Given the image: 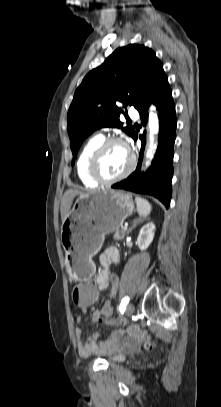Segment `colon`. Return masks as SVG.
Segmentation results:
<instances>
[{"label":"colon","instance_id":"obj_1","mask_svg":"<svg viewBox=\"0 0 221 407\" xmlns=\"http://www.w3.org/2000/svg\"><path fill=\"white\" fill-rule=\"evenodd\" d=\"M74 291H72L71 303L73 306H78L79 311H90L91 306L95 305V300L98 298L95 283H74ZM114 315L111 305H103L101 313L95 317L100 318V322H107ZM109 322L114 324L115 321L110 319ZM108 323V322H107ZM136 337L143 343L146 349H152L154 343L149 337L143 333L136 332Z\"/></svg>","mask_w":221,"mask_h":407}]
</instances>
